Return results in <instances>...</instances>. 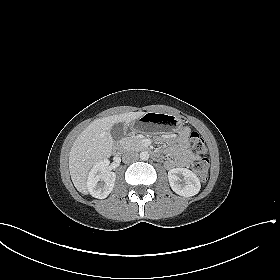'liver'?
Returning a JSON list of instances; mask_svg holds the SVG:
<instances>
[{
  "instance_id": "obj_1",
  "label": "liver",
  "mask_w": 280,
  "mask_h": 280,
  "mask_svg": "<svg viewBox=\"0 0 280 280\" xmlns=\"http://www.w3.org/2000/svg\"><path fill=\"white\" fill-rule=\"evenodd\" d=\"M145 112H129L94 120L77 137L69 153V171L75 188L87 194L90 169L112 154L114 144L110 130L115 123L129 124Z\"/></svg>"
}]
</instances>
